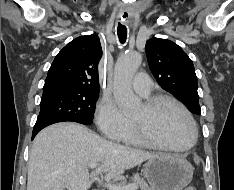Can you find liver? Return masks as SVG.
Masks as SVG:
<instances>
[{
  "label": "liver",
  "instance_id": "6515ba94",
  "mask_svg": "<svg viewBox=\"0 0 234 190\" xmlns=\"http://www.w3.org/2000/svg\"><path fill=\"white\" fill-rule=\"evenodd\" d=\"M157 156L100 137L77 123H58L35 137L27 190H88L96 175L110 180ZM90 163H100L91 174Z\"/></svg>",
  "mask_w": 234,
  "mask_h": 190
}]
</instances>
